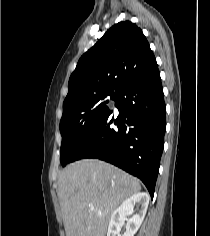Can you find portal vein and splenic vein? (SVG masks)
<instances>
[{"mask_svg":"<svg viewBox=\"0 0 210 236\" xmlns=\"http://www.w3.org/2000/svg\"><path fill=\"white\" fill-rule=\"evenodd\" d=\"M91 209H94V207H93V206H91Z\"/></svg>","mask_w":210,"mask_h":236,"instance_id":"18ae733b","label":"portal vein and splenic vein"}]
</instances>
